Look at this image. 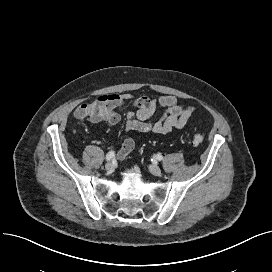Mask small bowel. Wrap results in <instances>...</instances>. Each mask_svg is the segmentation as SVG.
I'll return each mask as SVG.
<instances>
[{"label": "small bowel", "instance_id": "small-bowel-1", "mask_svg": "<svg viewBox=\"0 0 272 272\" xmlns=\"http://www.w3.org/2000/svg\"><path fill=\"white\" fill-rule=\"evenodd\" d=\"M128 102L135 107L134 112H124V105ZM159 108L163 109L162 115L157 121L151 122L150 119ZM123 112L127 117L126 131L165 135L174 129L184 127L193 114V108L182 105L174 95L150 98L120 93L100 95L95 101L80 105L74 111V117L78 120L115 125L120 121ZM134 147L135 140L131 137L126 138L117 151V158L124 159Z\"/></svg>", "mask_w": 272, "mask_h": 272}]
</instances>
